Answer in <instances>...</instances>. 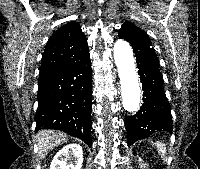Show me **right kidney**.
Returning <instances> with one entry per match:
<instances>
[{"label":"right kidney","instance_id":"1","mask_svg":"<svg viewBox=\"0 0 200 169\" xmlns=\"http://www.w3.org/2000/svg\"><path fill=\"white\" fill-rule=\"evenodd\" d=\"M82 163V147L73 143L58 151L51 162L50 169H81Z\"/></svg>","mask_w":200,"mask_h":169}]
</instances>
